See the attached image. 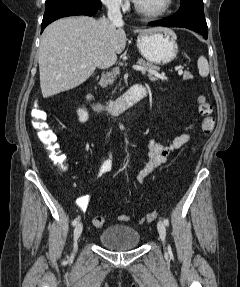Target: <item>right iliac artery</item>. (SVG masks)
<instances>
[{"label": "right iliac artery", "instance_id": "82829eb1", "mask_svg": "<svg viewBox=\"0 0 240 287\" xmlns=\"http://www.w3.org/2000/svg\"><path fill=\"white\" fill-rule=\"evenodd\" d=\"M77 223H78V218H75V219L72 221V225L75 226Z\"/></svg>", "mask_w": 240, "mask_h": 287}]
</instances>
